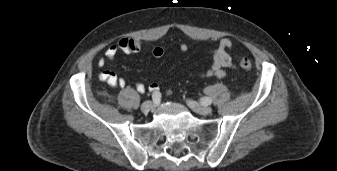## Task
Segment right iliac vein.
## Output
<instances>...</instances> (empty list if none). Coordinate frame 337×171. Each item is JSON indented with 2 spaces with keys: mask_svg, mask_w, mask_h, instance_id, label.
I'll return each mask as SVG.
<instances>
[{
  "mask_svg": "<svg viewBox=\"0 0 337 171\" xmlns=\"http://www.w3.org/2000/svg\"><path fill=\"white\" fill-rule=\"evenodd\" d=\"M154 103L151 101H145L142 105H141V111L144 113H148L149 111L154 109Z\"/></svg>",
  "mask_w": 337,
  "mask_h": 171,
  "instance_id": "1",
  "label": "right iliac vein"
}]
</instances>
